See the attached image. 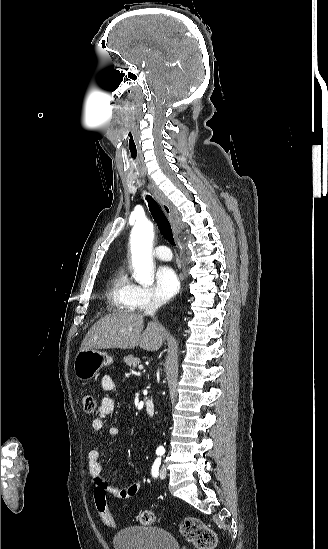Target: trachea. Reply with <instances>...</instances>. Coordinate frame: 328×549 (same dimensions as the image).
Instances as JSON below:
<instances>
[{"mask_svg": "<svg viewBox=\"0 0 328 549\" xmlns=\"http://www.w3.org/2000/svg\"><path fill=\"white\" fill-rule=\"evenodd\" d=\"M145 198L148 203V208L150 210V213L154 221L156 222L158 229L160 230L164 239L168 240L172 245L175 246L176 244L173 238L172 228L166 215L161 210L157 202L150 195L147 194Z\"/></svg>", "mask_w": 328, "mask_h": 549, "instance_id": "trachea-1", "label": "trachea"}]
</instances>
